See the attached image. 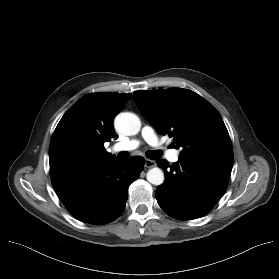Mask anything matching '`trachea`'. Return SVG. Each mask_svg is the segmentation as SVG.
I'll use <instances>...</instances> for the list:
<instances>
[{"label":"trachea","mask_w":279,"mask_h":279,"mask_svg":"<svg viewBox=\"0 0 279 279\" xmlns=\"http://www.w3.org/2000/svg\"><path fill=\"white\" fill-rule=\"evenodd\" d=\"M146 156L151 160H155V159H158L161 156V153L158 152V151L150 150V151L146 152ZM120 157L127 158V157H129V153L128 152H121Z\"/></svg>","instance_id":"1"}]
</instances>
